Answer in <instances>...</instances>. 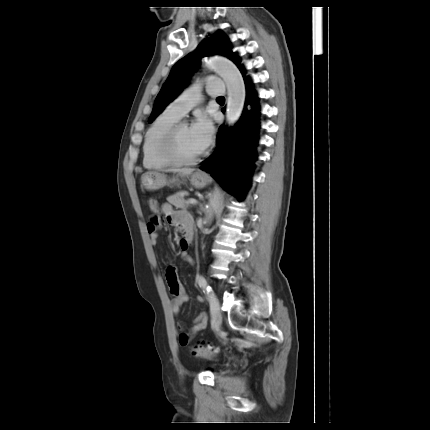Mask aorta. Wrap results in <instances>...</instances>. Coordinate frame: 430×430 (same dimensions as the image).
I'll list each match as a JSON object with an SVG mask.
<instances>
[{
    "instance_id": "aorta-1",
    "label": "aorta",
    "mask_w": 430,
    "mask_h": 430,
    "mask_svg": "<svg viewBox=\"0 0 430 430\" xmlns=\"http://www.w3.org/2000/svg\"><path fill=\"white\" fill-rule=\"evenodd\" d=\"M207 67L217 73L227 86L226 121L233 126L240 118L245 101V84L238 68L228 59L219 55L211 56L206 63ZM219 206V193H214L209 201V210L205 221L212 220Z\"/></svg>"
}]
</instances>
